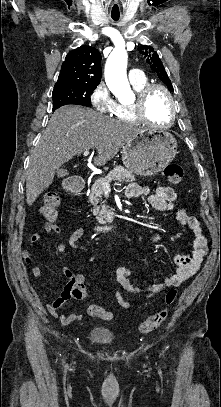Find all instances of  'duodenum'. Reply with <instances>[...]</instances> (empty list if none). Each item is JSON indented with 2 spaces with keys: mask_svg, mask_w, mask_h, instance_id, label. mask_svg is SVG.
Returning a JSON list of instances; mask_svg holds the SVG:
<instances>
[{
  "mask_svg": "<svg viewBox=\"0 0 221 407\" xmlns=\"http://www.w3.org/2000/svg\"><path fill=\"white\" fill-rule=\"evenodd\" d=\"M84 188V183H70L65 187V192L69 195L78 193ZM119 228V224H106L98 227L100 232H112Z\"/></svg>",
  "mask_w": 221,
  "mask_h": 407,
  "instance_id": "obj_1",
  "label": "duodenum"
}]
</instances>
